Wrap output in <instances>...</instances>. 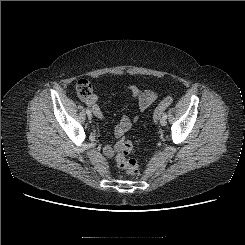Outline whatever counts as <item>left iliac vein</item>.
<instances>
[{"instance_id": "4c4485c4", "label": "left iliac vein", "mask_w": 245, "mask_h": 245, "mask_svg": "<svg viewBox=\"0 0 245 245\" xmlns=\"http://www.w3.org/2000/svg\"><path fill=\"white\" fill-rule=\"evenodd\" d=\"M166 118H164V117H162L161 119H160V124H161V126H165L166 125Z\"/></svg>"}]
</instances>
